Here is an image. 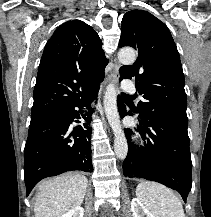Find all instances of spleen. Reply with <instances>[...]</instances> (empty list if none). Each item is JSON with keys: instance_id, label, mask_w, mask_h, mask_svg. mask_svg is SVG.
<instances>
[{"instance_id": "obj_1", "label": "spleen", "mask_w": 211, "mask_h": 217, "mask_svg": "<svg viewBox=\"0 0 211 217\" xmlns=\"http://www.w3.org/2000/svg\"><path fill=\"white\" fill-rule=\"evenodd\" d=\"M136 195L153 217H185L178 196L162 184L143 181L138 184Z\"/></svg>"}]
</instances>
